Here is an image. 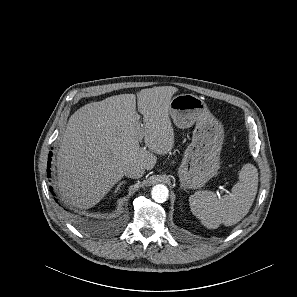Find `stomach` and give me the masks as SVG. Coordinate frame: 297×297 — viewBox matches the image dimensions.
<instances>
[{
    "mask_svg": "<svg viewBox=\"0 0 297 297\" xmlns=\"http://www.w3.org/2000/svg\"><path fill=\"white\" fill-rule=\"evenodd\" d=\"M169 114L178 128L195 124L192 142L178 168L182 188L199 189L217 174L224 140L222 124L210 113L205 102L193 94L172 98Z\"/></svg>",
    "mask_w": 297,
    "mask_h": 297,
    "instance_id": "1",
    "label": "stomach"
}]
</instances>
